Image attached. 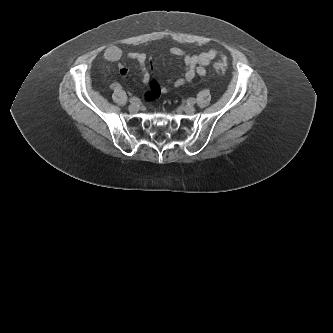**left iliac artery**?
<instances>
[{
  "label": "left iliac artery",
  "instance_id": "obj_1",
  "mask_svg": "<svg viewBox=\"0 0 333 333\" xmlns=\"http://www.w3.org/2000/svg\"><path fill=\"white\" fill-rule=\"evenodd\" d=\"M195 102H196L195 98H189V99L187 100V103H188V104H195Z\"/></svg>",
  "mask_w": 333,
  "mask_h": 333
}]
</instances>
